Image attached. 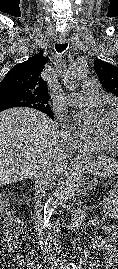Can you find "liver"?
<instances>
[{"label":"liver","instance_id":"liver-1","mask_svg":"<svg viewBox=\"0 0 118 269\" xmlns=\"http://www.w3.org/2000/svg\"><path fill=\"white\" fill-rule=\"evenodd\" d=\"M57 139L56 123L42 112L32 108L0 112V185L31 178L39 164L53 156L58 173L63 171L68 160Z\"/></svg>","mask_w":118,"mask_h":269}]
</instances>
